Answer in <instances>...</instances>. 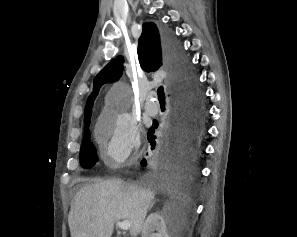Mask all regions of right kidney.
I'll return each mask as SVG.
<instances>
[{
    "label": "right kidney",
    "instance_id": "right-kidney-1",
    "mask_svg": "<svg viewBox=\"0 0 297 237\" xmlns=\"http://www.w3.org/2000/svg\"><path fill=\"white\" fill-rule=\"evenodd\" d=\"M157 232H154V231ZM142 237H171L164 217L158 213L150 214L143 224Z\"/></svg>",
    "mask_w": 297,
    "mask_h": 237
}]
</instances>
